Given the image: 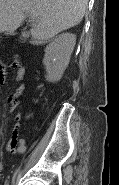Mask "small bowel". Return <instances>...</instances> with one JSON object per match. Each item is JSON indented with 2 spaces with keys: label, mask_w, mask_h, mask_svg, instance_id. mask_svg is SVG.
<instances>
[{
  "label": "small bowel",
  "mask_w": 119,
  "mask_h": 185,
  "mask_svg": "<svg viewBox=\"0 0 119 185\" xmlns=\"http://www.w3.org/2000/svg\"><path fill=\"white\" fill-rule=\"evenodd\" d=\"M8 68L15 69V81L17 83V86L13 94L7 99L10 104L11 110H15L19 106L20 99L22 98V95L25 91V83H24L25 69L24 67H22V65L17 59H13L9 63H1L0 64V84L1 85H3L6 82ZM15 120H16V125L13 130L12 137L8 141L7 150L13 153L15 152L23 153L26 150V145H25V140L19 137V131H20L19 122L21 120L20 112L16 113Z\"/></svg>",
  "instance_id": "obj_1"
}]
</instances>
